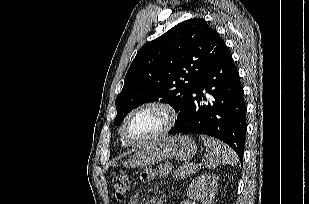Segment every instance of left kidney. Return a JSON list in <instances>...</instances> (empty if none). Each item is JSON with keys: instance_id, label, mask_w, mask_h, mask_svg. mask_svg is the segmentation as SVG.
I'll return each mask as SVG.
<instances>
[{"instance_id": "5707ae66", "label": "left kidney", "mask_w": 309, "mask_h": 204, "mask_svg": "<svg viewBox=\"0 0 309 204\" xmlns=\"http://www.w3.org/2000/svg\"><path fill=\"white\" fill-rule=\"evenodd\" d=\"M218 179V176L207 173L195 177L189 185L187 196L201 201L202 204H213Z\"/></svg>"}]
</instances>
